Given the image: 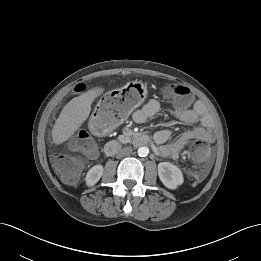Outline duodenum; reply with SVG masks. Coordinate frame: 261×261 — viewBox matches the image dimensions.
I'll list each match as a JSON object with an SVG mask.
<instances>
[{"label": "duodenum", "mask_w": 261, "mask_h": 261, "mask_svg": "<svg viewBox=\"0 0 261 261\" xmlns=\"http://www.w3.org/2000/svg\"><path fill=\"white\" fill-rule=\"evenodd\" d=\"M150 142H151V138L146 134H138V135L134 136L132 139V143L135 146H144V145L149 144ZM119 149H120V143L115 140H111L106 143V145L104 147V152L107 156H112Z\"/></svg>", "instance_id": "obj_1"}]
</instances>
